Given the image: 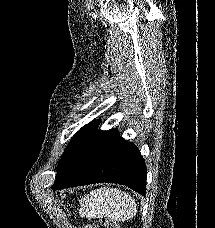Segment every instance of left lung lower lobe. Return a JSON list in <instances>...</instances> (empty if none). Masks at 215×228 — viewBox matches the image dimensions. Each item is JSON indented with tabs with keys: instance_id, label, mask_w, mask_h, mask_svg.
Segmentation results:
<instances>
[{
	"instance_id": "1",
	"label": "left lung lower lobe",
	"mask_w": 215,
	"mask_h": 228,
	"mask_svg": "<svg viewBox=\"0 0 215 228\" xmlns=\"http://www.w3.org/2000/svg\"><path fill=\"white\" fill-rule=\"evenodd\" d=\"M147 169L136 146L117 129L93 131L58 171L53 190L100 182L119 183L145 195Z\"/></svg>"
}]
</instances>
